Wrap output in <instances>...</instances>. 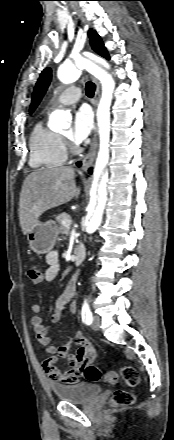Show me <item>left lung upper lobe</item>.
<instances>
[{
  "instance_id": "5c2ea615",
  "label": "left lung upper lobe",
  "mask_w": 174,
  "mask_h": 440,
  "mask_svg": "<svg viewBox=\"0 0 174 440\" xmlns=\"http://www.w3.org/2000/svg\"><path fill=\"white\" fill-rule=\"evenodd\" d=\"M88 36L90 38V44L92 46V49L102 57L109 59L108 52L106 51V48L104 47V44L100 36L96 33V31L90 29ZM50 80H51V69L46 68L44 69V71H42L34 88V92L32 95V103L29 110L30 114L35 110L40 100L42 99L43 95L45 94L50 84Z\"/></svg>"
}]
</instances>
